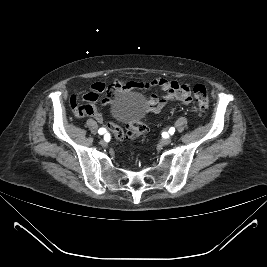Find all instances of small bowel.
<instances>
[{
	"label": "small bowel",
	"mask_w": 267,
	"mask_h": 267,
	"mask_svg": "<svg viewBox=\"0 0 267 267\" xmlns=\"http://www.w3.org/2000/svg\"><path fill=\"white\" fill-rule=\"evenodd\" d=\"M152 87H159L166 91L167 94L165 96L152 94L145 101V108L149 112L160 113L166 107L168 102L172 100L179 101L182 104H188L191 101L190 88L188 85L164 78H154L146 81L127 82L115 80L110 84L102 82L93 83L91 91L83 95V99L87 103L79 105L77 97L72 96L71 106L77 117L90 115L100 122L102 121V115L95 106L100 94L105 93L107 95V97L102 100V103L108 105L111 103L112 97L118 92L132 91L135 89H148Z\"/></svg>",
	"instance_id": "obj_1"
}]
</instances>
